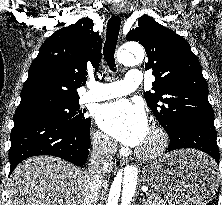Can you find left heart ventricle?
<instances>
[{"label":"left heart ventricle","mask_w":222,"mask_h":205,"mask_svg":"<svg viewBox=\"0 0 222 205\" xmlns=\"http://www.w3.org/2000/svg\"><path fill=\"white\" fill-rule=\"evenodd\" d=\"M155 137L152 132L149 130L144 141L140 144L139 148H148L153 145Z\"/></svg>","instance_id":"b2bd125f"}]
</instances>
